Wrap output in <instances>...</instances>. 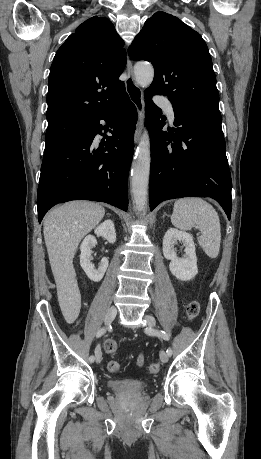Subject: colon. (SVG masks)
Returning a JSON list of instances; mask_svg holds the SVG:
<instances>
[{
	"label": "colon",
	"mask_w": 261,
	"mask_h": 459,
	"mask_svg": "<svg viewBox=\"0 0 261 459\" xmlns=\"http://www.w3.org/2000/svg\"><path fill=\"white\" fill-rule=\"evenodd\" d=\"M200 303L198 301H191L186 306V314L188 319H195L200 313ZM118 346L115 340L108 339L104 343V350L107 354L113 355L117 352ZM107 370L112 373H117L120 371V364L117 361H109L106 365ZM160 370L159 363H151L149 365V371L151 373H158Z\"/></svg>",
	"instance_id": "obj_1"
}]
</instances>
